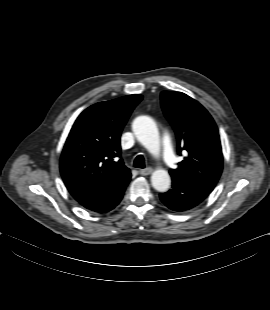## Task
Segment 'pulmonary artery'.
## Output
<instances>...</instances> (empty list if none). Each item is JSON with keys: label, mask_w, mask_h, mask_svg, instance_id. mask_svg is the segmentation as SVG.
Instances as JSON below:
<instances>
[{"label": "pulmonary artery", "mask_w": 270, "mask_h": 310, "mask_svg": "<svg viewBox=\"0 0 270 310\" xmlns=\"http://www.w3.org/2000/svg\"><path fill=\"white\" fill-rule=\"evenodd\" d=\"M163 159L168 166H173L175 164V156L173 150L168 141L164 142L163 146Z\"/></svg>", "instance_id": "e3ab8cb5"}]
</instances>
